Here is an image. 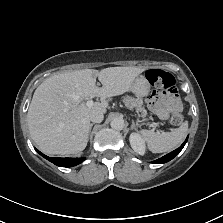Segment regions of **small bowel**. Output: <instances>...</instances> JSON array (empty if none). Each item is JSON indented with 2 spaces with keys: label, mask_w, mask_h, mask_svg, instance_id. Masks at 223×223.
Listing matches in <instances>:
<instances>
[{
  "label": "small bowel",
  "mask_w": 223,
  "mask_h": 223,
  "mask_svg": "<svg viewBox=\"0 0 223 223\" xmlns=\"http://www.w3.org/2000/svg\"><path fill=\"white\" fill-rule=\"evenodd\" d=\"M149 108L160 118L166 119L171 112H178L182 104L177 93L155 90L147 98Z\"/></svg>",
  "instance_id": "1"
}]
</instances>
